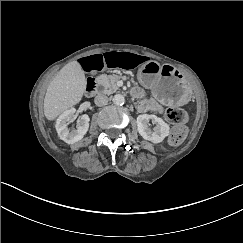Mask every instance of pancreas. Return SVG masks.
Listing matches in <instances>:
<instances>
[{
    "label": "pancreas",
    "instance_id": "cf45deb5",
    "mask_svg": "<svg viewBox=\"0 0 243 243\" xmlns=\"http://www.w3.org/2000/svg\"><path fill=\"white\" fill-rule=\"evenodd\" d=\"M126 80L128 79V82H133V84L136 87H139V84L136 82V80L134 79V77H130L126 76V75H117V74H110V75H106V74H102L101 76L97 77V82L99 84H102L106 87V89L112 90L113 92H117L119 90L118 86H117V82L120 80Z\"/></svg>",
    "mask_w": 243,
    "mask_h": 243
}]
</instances>
